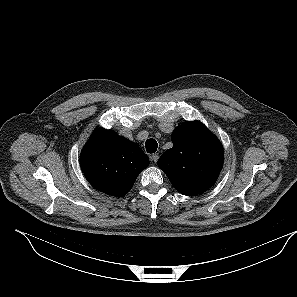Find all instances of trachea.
I'll return each mask as SVG.
<instances>
[{"mask_svg":"<svg viewBox=\"0 0 297 297\" xmlns=\"http://www.w3.org/2000/svg\"><path fill=\"white\" fill-rule=\"evenodd\" d=\"M145 147L148 153H155L158 147L157 141L155 139H148L145 142Z\"/></svg>","mask_w":297,"mask_h":297,"instance_id":"obj_1","label":"trachea"}]
</instances>
